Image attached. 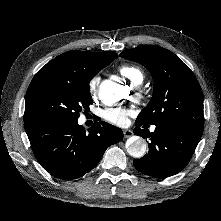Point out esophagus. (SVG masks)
<instances>
[{"label": "esophagus", "instance_id": "esophagus-1", "mask_svg": "<svg viewBox=\"0 0 221 221\" xmlns=\"http://www.w3.org/2000/svg\"><path fill=\"white\" fill-rule=\"evenodd\" d=\"M123 134H124L125 138H128L133 135V132L129 129H125V130H123Z\"/></svg>", "mask_w": 221, "mask_h": 221}]
</instances>
